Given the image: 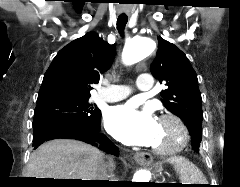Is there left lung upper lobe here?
<instances>
[{
    "instance_id": "1",
    "label": "left lung upper lobe",
    "mask_w": 240,
    "mask_h": 187,
    "mask_svg": "<svg viewBox=\"0 0 240 187\" xmlns=\"http://www.w3.org/2000/svg\"><path fill=\"white\" fill-rule=\"evenodd\" d=\"M158 42V53L151 64V73L167 86V89L161 91L162 102L185 122L192 137V147L198 152L203 112L196 72L186 55L174 44L162 37L158 38Z\"/></svg>"
}]
</instances>
